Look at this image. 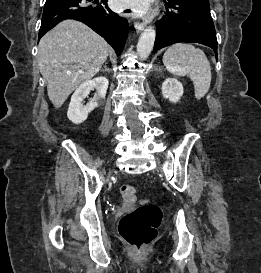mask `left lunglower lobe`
<instances>
[{
    "mask_svg": "<svg viewBox=\"0 0 261 273\" xmlns=\"http://www.w3.org/2000/svg\"><path fill=\"white\" fill-rule=\"evenodd\" d=\"M166 16L156 24L154 52L177 42L206 45L217 55L215 27L209 0H165Z\"/></svg>",
    "mask_w": 261,
    "mask_h": 273,
    "instance_id": "1",
    "label": "left lung lower lobe"
}]
</instances>
